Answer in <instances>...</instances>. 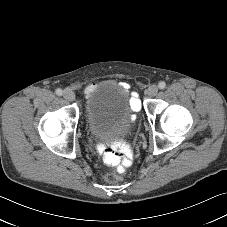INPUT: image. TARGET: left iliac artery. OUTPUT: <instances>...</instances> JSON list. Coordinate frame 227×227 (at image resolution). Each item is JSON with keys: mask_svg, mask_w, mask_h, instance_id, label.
Listing matches in <instances>:
<instances>
[{"mask_svg": "<svg viewBox=\"0 0 227 227\" xmlns=\"http://www.w3.org/2000/svg\"><path fill=\"white\" fill-rule=\"evenodd\" d=\"M158 87L160 89H164L166 87V83L164 81L159 82Z\"/></svg>", "mask_w": 227, "mask_h": 227, "instance_id": "44dca946", "label": "left iliac artery"}]
</instances>
